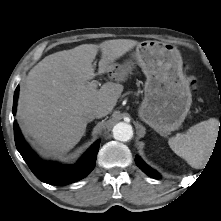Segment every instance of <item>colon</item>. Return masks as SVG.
I'll list each match as a JSON object with an SVG mask.
<instances>
[{
	"instance_id": "1",
	"label": "colon",
	"mask_w": 221,
	"mask_h": 221,
	"mask_svg": "<svg viewBox=\"0 0 221 221\" xmlns=\"http://www.w3.org/2000/svg\"><path fill=\"white\" fill-rule=\"evenodd\" d=\"M189 84L192 88H195L196 86V80L194 78H189Z\"/></svg>"
}]
</instances>
